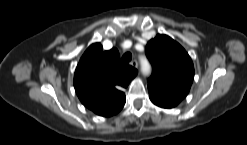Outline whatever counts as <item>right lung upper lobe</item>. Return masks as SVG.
<instances>
[{"label": "right lung upper lobe", "mask_w": 247, "mask_h": 145, "mask_svg": "<svg viewBox=\"0 0 247 145\" xmlns=\"http://www.w3.org/2000/svg\"><path fill=\"white\" fill-rule=\"evenodd\" d=\"M136 75L134 67L121 63L117 49L102 52V45L94 43L77 65L74 87L84 106L109 117L123 108L126 101L123 89Z\"/></svg>", "instance_id": "right-lung-upper-lobe-1"}]
</instances>
